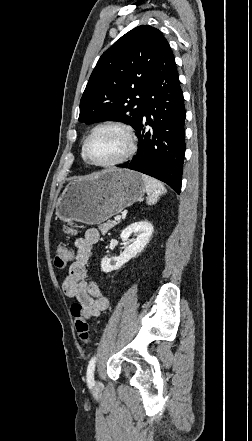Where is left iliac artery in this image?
Segmentation results:
<instances>
[{
	"label": "left iliac artery",
	"instance_id": "44dca946",
	"mask_svg": "<svg viewBox=\"0 0 252 441\" xmlns=\"http://www.w3.org/2000/svg\"><path fill=\"white\" fill-rule=\"evenodd\" d=\"M95 363H96V357L94 356L89 361V364H88V367H87V382H88V384H91V385L94 384Z\"/></svg>",
	"mask_w": 252,
	"mask_h": 441
}]
</instances>
